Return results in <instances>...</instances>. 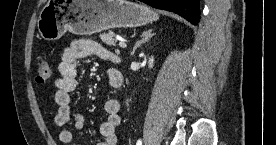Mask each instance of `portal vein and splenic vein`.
I'll list each match as a JSON object with an SVG mask.
<instances>
[{
    "label": "portal vein and splenic vein",
    "mask_w": 276,
    "mask_h": 145,
    "mask_svg": "<svg viewBox=\"0 0 276 145\" xmlns=\"http://www.w3.org/2000/svg\"><path fill=\"white\" fill-rule=\"evenodd\" d=\"M119 46H120L121 48H126V47H127V45H126V43H125L124 41H120V42H119Z\"/></svg>",
    "instance_id": "18ae733b"
}]
</instances>
